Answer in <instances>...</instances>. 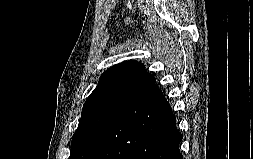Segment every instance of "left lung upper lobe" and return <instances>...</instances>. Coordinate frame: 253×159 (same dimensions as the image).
Segmentation results:
<instances>
[{"instance_id": "obj_1", "label": "left lung upper lobe", "mask_w": 253, "mask_h": 159, "mask_svg": "<svg viewBox=\"0 0 253 159\" xmlns=\"http://www.w3.org/2000/svg\"><path fill=\"white\" fill-rule=\"evenodd\" d=\"M154 83V76L137 61L108 68L84 103L68 159H90L118 114Z\"/></svg>"}]
</instances>
